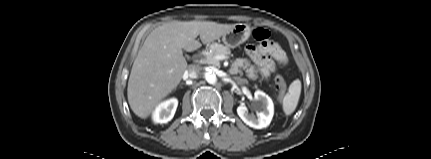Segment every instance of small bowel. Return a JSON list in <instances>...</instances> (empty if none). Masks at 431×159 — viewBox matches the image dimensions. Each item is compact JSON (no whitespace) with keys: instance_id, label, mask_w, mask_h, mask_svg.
Segmentation results:
<instances>
[{"instance_id":"1","label":"small bowel","mask_w":431,"mask_h":159,"mask_svg":"<svg viewBox=\"0 0 431 159\" xmlns=\"http://www.w3.org/2000/svg\"><path fill=\"white\" fill-rule=\"evenodd\" d=\"M246 52L263 77H269L276 70L277 65L284 64L287 59L280 45L272 40L269 44L248 45ZM245 64V61H240L238 66Z\"/></svg>"}]
</instances>
